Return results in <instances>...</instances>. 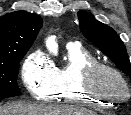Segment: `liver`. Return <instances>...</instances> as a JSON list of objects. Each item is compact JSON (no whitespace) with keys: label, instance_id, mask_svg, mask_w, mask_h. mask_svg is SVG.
I'll use <instances>...</instances> for the list:
<instances>
[{"label":"liver","instance_id":"6515ba94","mask_svg":"<svg viewBox=\"0 0 131 115\" xmlns=\"http://www.w3.org/2000/svg\"><path fill=\"white\" fill-rule=\"evenodd\" d=\"M0 115H97L91 110L73 106H56L12 102L0 106Z\"/></svg>","mask_w":131,"mask_h":115}]
</instances>
